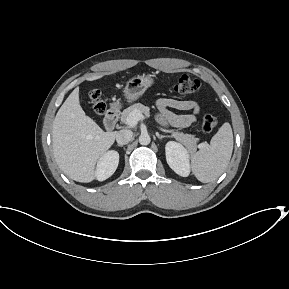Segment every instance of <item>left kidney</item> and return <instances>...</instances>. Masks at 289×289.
I'll return each mask as SVG.
<instances>
[{
	"mask_svg": "<svg viewBox=\"0 0 289 289\" xmlns=\"http://www.w3.org/2000/svg\"><path fill=\"white\" fill-rule=\"evenodd\" d=\"M166 160L170 168L178 175L187 177L190 173L189 152L180 143L167 142L165 146Z\"/></svg>",
	"mask_w": 289,
	"mask_h": 289,
	"instance_id": "1",
	"label": "left kidney"
}]
</instances>
